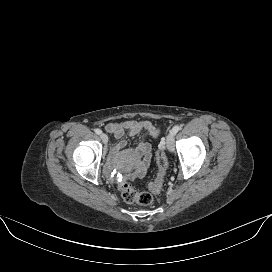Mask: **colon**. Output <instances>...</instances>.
<instances>
[{"mask_svg":"<svg viewBox=\"0 0 272 272\" xmlns=\"http://www.w3.org/2000/svg\"><path fill=\"white\" fill-rule=\"evenodd\" d=\"M156 163L158 167L157 176L149 185L150 191L154 193L161 190L168 168V160L162 147L156 152ZM119 190L122 198L128 203H137L146 206L153 202V196L150 192H139L129 182H121L119 184Z\"/></svg>","mask_w":272,"mask_h":272,"instance_id":"obj_1","label":"colon"}]
</instances>
